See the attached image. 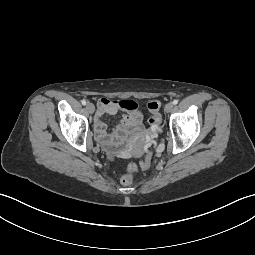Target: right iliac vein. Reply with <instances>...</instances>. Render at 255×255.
Instances as JSON below:
<instances>
[{
	"mask_svg": "<svg viewBox=\"0 0 255 255\" xmlns=\"http://www.w3.org/2000/svg\"><path fill=\"white\" fill-rule=\"evenodd\" d=\"M86 109H87V111H88L90 114L94 113V111H95V107H94V105H93L92 103H87Z\"/></svg>",
	"mask_w": 255,
	"mask_h": 255,
	"instance_id": "obj_1",
	"label": "right iliac vein"
}]
</instances>
